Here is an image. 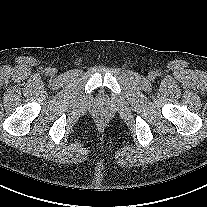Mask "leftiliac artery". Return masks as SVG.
Returning a JSON list of instances; mask_svg holds the SVG:
<instances>
[{"instance_id": "left-iliac-artery-1", "label": "left iliac artery", "mask_w": 207, "mask_h": 207, "mask_svg": "<svg viewBox=\"0 0 207 207\" xmlns=\"http://www.w3.org/2000/svg\"><path fill=\"white\" fill-rule=\"evenodd\" d=\"M156 75H157V76H160V75H161V73H160L159 71H157V72H156Z\"/></svg>"}]
</instances>
